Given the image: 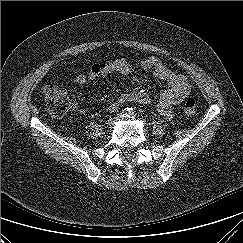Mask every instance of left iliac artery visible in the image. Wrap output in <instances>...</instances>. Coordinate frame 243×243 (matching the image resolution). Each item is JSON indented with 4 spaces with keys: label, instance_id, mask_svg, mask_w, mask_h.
<instances>
[{
    "label": "left iliac artery",
    "instance_id": "44dca946",
    "mask_svg": "<svg viewBox=\"0 0 243 243\" xmlns=\"http://www.w3.org/2000/svg\"><path fill=\"white\" fill-rule=\"evenodd\" d=\"M128 117L134 119L136 117V113L132 109H129Z\"/></svg>",
    "mask_w": 243,
    "mask_h": 243
}]
</instances>
